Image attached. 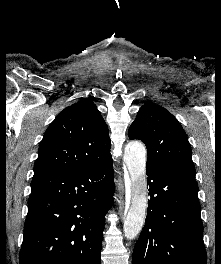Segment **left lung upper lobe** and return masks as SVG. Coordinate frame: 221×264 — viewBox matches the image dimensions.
Returning a JSON list of instances; mask_svg holds the SVG:
<instances>
[{"label":"left lung upper lobe","instance_id":"left-lung-upper-lobe-1","mask_svg":"<svg viewBox=\"0 0 221 264\" xmlns=\"http://www.w3.org/2000/svg\"><path fill=\"white\" fill-rule=\"evenodd\" d=\"M128 135L130 139H139L146 144V168L195 180V167L187 135L168 110L146 103L138 111Z\"/></svg>","mask_w":221,"mask_h":264}]
</instances>
